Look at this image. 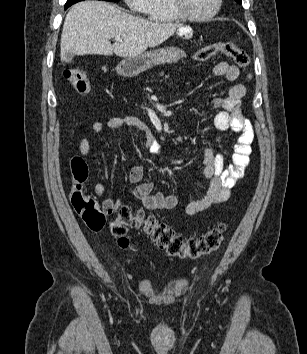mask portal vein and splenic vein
Segmentation results:
<instances>
[{
    "mask_svg": "<svg viewBox=\"0 0 307 354\" xmlns=\"http://www.w3.org/2000/svg\"><path fill=\"white\" fill-rule=\"evenodd\" d=\"M115 40L118 41V42H121V41H122V39H121L120 36H116V37H115Z\"/></svg>",
    "mask_w": 307,
    "mask_h": 354,
    "instance_id": "18ae733b",
    "label": "portal vein and splenic vein"
}]
</instances>
